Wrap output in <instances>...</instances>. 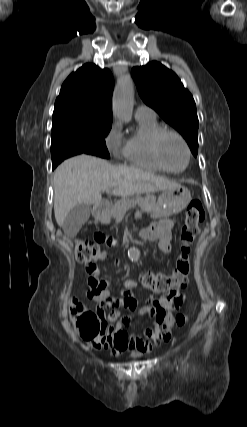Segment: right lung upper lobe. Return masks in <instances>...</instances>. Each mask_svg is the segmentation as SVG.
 <instances>
[{"label":"right lung upper lobe","instance_id":"obj_1","mask_svg":"<svg viewBox=\"0 0 247 427\" xmlns=\"http://www.w3.org/2000/svg\"><path fill=\"white\" fill-rule=\"evenodd\" d=\"M113 87L108 69L87 63L65 80L53 114L76 112L95 120H112Z\"/></svg>","mask_w":247,"mask_h":427}]
</instances>
